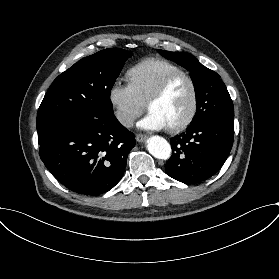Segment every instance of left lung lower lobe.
I'll return each mask as SVG.
<instances>
[{
	"mask_svg": "<svg viewBox=\"0 0 279 279\" xmlns=\"http://www.w3.org/2000/svg\"><path fill=\"white\" fill-rule=\"evenodd\" d=\"M234 121L203 119L170 140L173 155L166 173L183 183H197L214 175L226 161L233 145Z\"/></svg>",
	"mask_w": 279,
	"mask_h": 279,
	"instance_id": "left-lung-lower-lobe-1",
	"label": "left lung lower lobe"
}]
</instances>
